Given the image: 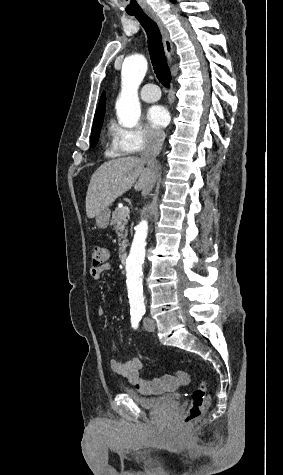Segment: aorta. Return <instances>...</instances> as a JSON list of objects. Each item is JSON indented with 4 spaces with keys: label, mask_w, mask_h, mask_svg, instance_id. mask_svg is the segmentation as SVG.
Returning a JSON list of instances; mask_svg holds the SVG:
<instances>
[{
    "label": "aorta",
    "mask_w": 283,
    "mask_h": 475,
    "mask_svg": "<svg viewBox=\"0 0 283 475\" xmlns=\"http://www.w3.org/2000/svg\"><path fill=\"white\" fill-rule=\"evenodd\" d=\"M147 71L143 55L134 54L125 58L121 71V93L116 103L119 122L127 128L134 127L141 115L138 88ZM155 229L151 212L143 211L134 226V238L126 260V284L129 304L132 308H144L143 267L147 244Z\"/></svg>",
    "instance_id": "762f6f07"
}]
</instances>
